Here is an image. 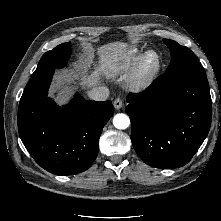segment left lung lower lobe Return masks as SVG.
<instances>
[{
  "label": "left lung lower lobe",
  "mask_w": 221,
  "mask_h": 221,
  "mask_svg": "<svg viewBox=\"0 0 221 221\" xmlns=\"http://www.w3.org/2000/svg\"><path fill=\"white\" fill-rule=\"evenodd\" d=\"M127 102L132 144L150 166H184L209 132L212 101L199 61L166 71L142 93H130Z\"/></svg>",
  "instance_id": "1"
}]
</instances>
